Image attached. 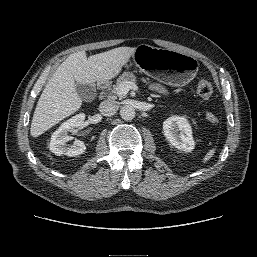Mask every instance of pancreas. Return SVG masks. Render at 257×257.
<instances>
[{"label": "pancreas", "instance_id": "1", "mask_svg": "<svg viewBox=\"0 0 257 257\" xmlns=\"http://www.w3.org/2000/svg\"><path fill=\"white\" fill-rule=\"evenodd\" d=\"M127 81H130V82H136V76L133 72H125L123 73L118 79H117V82H116V85L114 86L112 92L117 94V88L124 82H127ZM142 81L144 83H148L149 79L148 78H142Z\"/></svg>", "mask_w": 257, "mask_h": 257}]
</instances>
